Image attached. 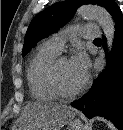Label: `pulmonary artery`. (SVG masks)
<instances>
[{
    "label": "pulmonary artery",
    "instance_id": "e3ab8cb5",
    "mask_svg": "<svg viewBox=\"0 0 123 130\" xmlns=\"http://www.w3.org/2000/svg\"><path fill=\"white\" fill-rule=\"evenodd\" d=\"M75 34H78L85 39H96L100 37L101 32L98 26L94 24H85L80 27H73L66 31L55 34L50 37L46 43L60 53L66 40Z\"/></svg>",
    "mask_w": 123,
    "mask_h": 130
}]
</instances>
